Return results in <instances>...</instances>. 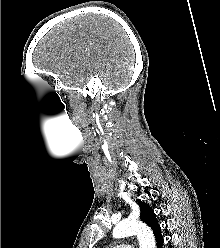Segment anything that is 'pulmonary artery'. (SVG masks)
I'll list each match as a JSON object with an SVG mask.
<instances>
[{"label": "pulmonary artery", "mask_w": 220, "mask_h": 248, "mask_svg": "<svg viewBox=\"0 0 220 248\" xmlns=\"http://www.w3.org/2000/svg\"><path fill=\"white\" fill-rule=\"evenodd\" d=\"M114 248H133V247H131L130 245L123 244V245L115 246Z\"/></svg>", "instance_id": "e3ab8cb5"}]
</instances>
